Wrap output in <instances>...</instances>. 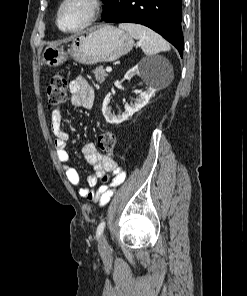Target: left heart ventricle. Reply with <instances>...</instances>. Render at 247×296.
Masks as SVG:
<instances>
[{
	"label": "left heart ventricle",
	"instance_id": "1",
	"mask_svg": "<svg viewBox=\"0 0 247 296\" xmlns=\"http://www.w3.org/2000/svg\"><path fill=\"white\" fill-rule=\"evenodd\" d=\"M89 7L82 0L70 2L62 11L60 23L65 29H72L82 24L87 15Z\"/></svg>",
	"mask_w": 247,
	"mask_h": 296
}]
</instances>
